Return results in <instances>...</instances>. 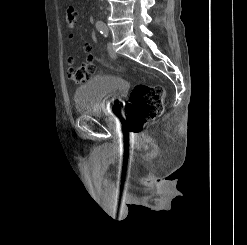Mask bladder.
Listing matches in <instances>:
<instances>
[{"label": "bladder", "instance_id": "31cf9c89", "mask_svg": "<svg viewBox=\"0 0 247 245\" xmlns=\"http://www.w3.org/2000/svg\"><path fill=\"white\" fill-rule=\"evenodd\" d=\"M128 90V81L120 76L95 75L76 89L74 94L76 111L82 116L115 113Z\"/></svg>", "mask_w": 247, "mask_h": 245}]
</instances>
